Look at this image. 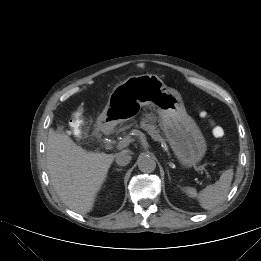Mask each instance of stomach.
Wrapping results in <instances>:
<instances>
[{"mask_svg": "<svg viewBox=\"0 0 261 261\" xmlns=\"http://www.w3.org/2000/svg\"><path fill=\"white\" fill-rule=\"evenodd\" d=\"M143 107L158 115L166 140L184 168L195 166L204 158L206 139L187 114L181 95L155 74L130 76L116 85L98 117V124L109 129L131 121ZM151 115V112L146 114Z\"/></svg>", "mask_w": 261, "mask_h": 261, "instance_id": "0dacf381", "label": "stomach"}]
</instances>
